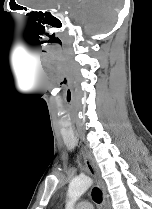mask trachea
Instances as JSON below:
<instances>
[{
  "instance_id": "3493384b",
  "label": "trachea",
  "mask_w": 152,
  "mask_h": 209,
  "mask_svg": "<svg viewBox=\"0 0 152 209\" xmlns=\"http://www.w3.org/2000/svg\"><path fill=\"white\" fill-rule=\"evenodd\" d=\"M92 198L96 203L102 202V192L99 188L95 187L92 190Z\"/></svg>"
}]
</instances>
